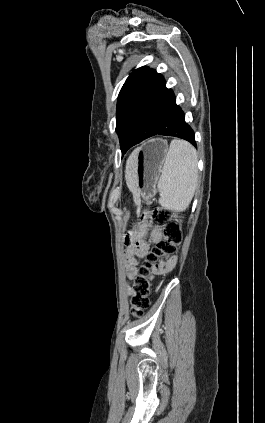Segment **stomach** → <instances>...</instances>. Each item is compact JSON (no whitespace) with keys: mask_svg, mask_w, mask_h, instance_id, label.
Masks as SVG:
<instances>
[{"mask_svg":"<svg viewBox=\"0 0 265 423\" xmlns=\"http://www.w3.org/2000/svg\"><path fill=\"white\" fill-rule=\"evenodd\" d=\"M168 152L167 142L156 138L144 142L133 152L136 182L143 196H152Z\"/></svg>","mask_w":265,"mask_h":423,"instance_id":"0dacf381","label":"stomach"}]
</instances>
